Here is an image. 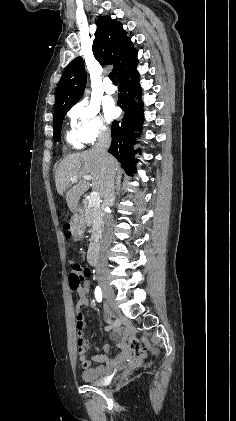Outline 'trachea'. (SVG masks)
Segmentation results:
<instances>
[{"mask_svg": "<svg viewBox=\"0 0 236 421\" xmlns=\"http://www.w3.org/2000/svg\"><path fill=\"white\" fill-rule=\"evenodd\" d=\"M109 78L113 83H118L117 78L114 74V72L109 73Z\"/></svg>", "mask_w": 236, "mask_h": 421, "instance_id": "trachea-1", "label": "trachea"}]
</instances>
